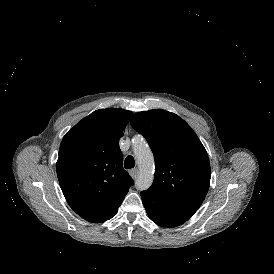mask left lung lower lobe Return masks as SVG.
Returning <instances> with one entry per match:
<instances>
[{"label": "left lung lower lobe", "instance_id": "1", "mask_svg": "<svg viewBox=\"0 0 274 274\" xmlns=\"http://www.w3.org/2000/svg\"><path fill=\"white\" fill-rule=\"evenodd\" d=\"M141 198L150 219L163 227L179 226L196 212L172 204L148 190L141 192Z\"/></svg>", "mask_w": 274, "mask_h": 274}]
</instances>
